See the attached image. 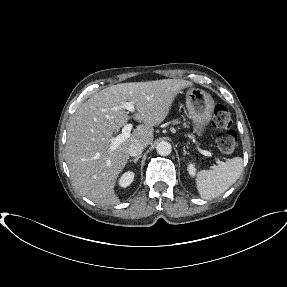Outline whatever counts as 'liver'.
<instances>
[{
    "mask_svg": "<svg viewBox=\"0 0 287 287\" xmlns=\"http://www.w3.org/2000/svg\"><path fill=\"white\" fill-rule=\"evenodd\" d=\"M190 86L181 79L121 83L83 103L67 125L66 162L76 191L100 206L118 204L114 186L129 159V146L135 142L149 145L153 126L164 121L177 94ZM124 102L135 105L134 118L143 124L111 150L112 135L129 120L121 108Z\"/></svg>",
    "mask_w": 287,
    "mask_h": 287,
    "instance_id": "1",
    "label": "liver"
}]
</instances>
